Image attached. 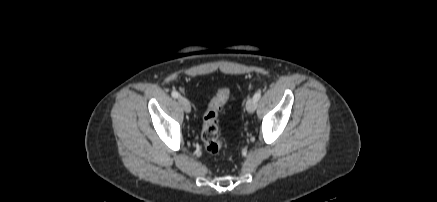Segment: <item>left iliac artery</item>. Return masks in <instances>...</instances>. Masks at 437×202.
<instances>
[{"mask_svg": "<svg viewBox=\"0 0 437 202\" xmlns=\"http://www.w3.org/2000/svg\"><path fill=\"white\" fill-rule=\"evenodd\" d=\"M260 97H261V91L259 90L254 94L253 99L257 102L260 99Z\"/></svg>", "mask_w": 437, "mask_h": 202, "instance_id": "1", "label": "left iliac artery"}]
</instances>
